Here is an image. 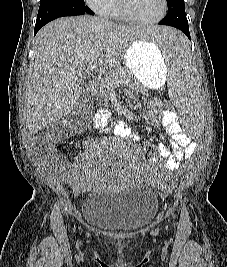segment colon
<instances>
[{
    "instance_id": "1",
    "label": "colon",
    "mask_w": 227,
    "mask_h": 267,
    "mask_svg": "<svg viewBox=\"0 0 227 267\" xmlns=\"http://www.w3.org/2000/svg\"><path fill=\"white\" fill-rule=\"evenodd\" d=\"M162 108L167 109L168 113L174 112V104L172 100H163ZM89 109V104L87 101H81L77 107L75 122L81 123L85 118ZM70 123L65 122L55 125L50 133L46 136L41 137L39 140L44 142L55 143L63 139L69 134ZM185 165V162H182ZM183 170L185 167H180V169H163L161 177L158 181V190L161 194H170L174 189L175 178H180L183 175Z\"/></svg>"
}]
</instances>
